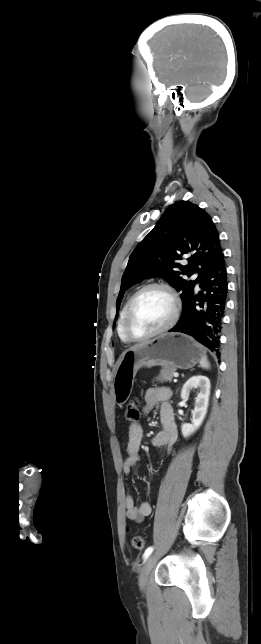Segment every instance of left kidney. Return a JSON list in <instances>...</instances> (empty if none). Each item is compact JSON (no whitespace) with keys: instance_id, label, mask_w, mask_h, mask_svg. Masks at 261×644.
<instances>
[{"instance_id":"5707ae66","label":"left kidney","mask_w":261,"mask_h":644,"mask_svg":"<svg viewBox=\"0 0 261 644\" xmlns=\"http://www.w3.org/2000/svg\"><path fill=\"white\" fill-rule=\"evenodd\" d=\"M210 381L206 376H193L184 385L181 390V398L187 401L190 391L193 388H199V393L195 398V407L192 412V424L184 423L181 426L182 434L185 438L192 435L202 424L208 408L210 395Z\"/></svg>"}]
</instances>
